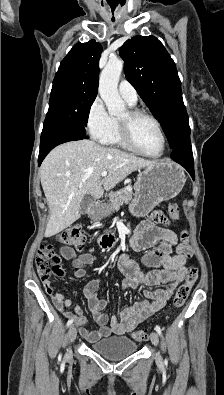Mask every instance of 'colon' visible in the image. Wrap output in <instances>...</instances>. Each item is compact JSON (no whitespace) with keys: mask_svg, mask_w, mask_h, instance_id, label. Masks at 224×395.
<instances>
[{"mask_svg":"<svg viewBox=\"0 0 224 395\" xmlns=\"http://www.w3.org/2000/svg\"><path fill=\"white\" fill-rule=\"evenodd\" d=\"M168 213L171 218H178L180 214L179 206L174 203L170 204L168 206ZM57 240L66 246L81 248L85 243V235L82 228L72 226L61 231L57 236ZM36 267L42 279H49L52 276L62 277L65 273L60 257L50 244L40 246L36 256ZM197 277L198 272L195 267L187 268L185 280L178 286L173 297L172 305L174 308L178 309L184 305ZM146 337L147 332L145 330H136L132 334V338L139 342L144 341Z\"/></svg>","mask_w":224,"mask_h":395,"instance_id":"5ec220e1","label":"colon"}]
</instances>
